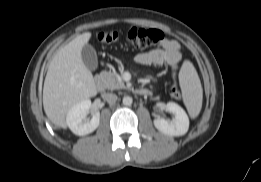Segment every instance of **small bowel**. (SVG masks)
Segmentation results:
<instances>
[{"label": "small bowel", "mask_w": 261, "mask_h": 182, "mask_svg": "<svg viewBox=\"0 0 261 182\" xmlns=\"http://www.w3.org/2000/svg\"><path fill=\"white\" fill-rule=\"evenodd\" d=\"M140 65H168L173 79H176L182 62L180 44L173 39H165L158 47L135 56Z\"/></svg>", "instance_id": "c3829d8e"}]
</instances>
